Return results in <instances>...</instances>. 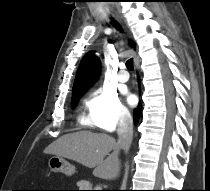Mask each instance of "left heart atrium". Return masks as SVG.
Listing matches in <instances>:
<instances>
[{
  "label": "left heart atrium",
  "mask_w": 210,
  "mask_h": 191,
  "mask_svg": "<svg viewBox=\"0 0 210 191\" xmlns=\"http://www.w3.org/2000/svg\"><path fill=\"white\" fill-rule=\"evenodd\" d=\"M127 101L130 105H133L135 103V97L131 94L127 95Z\"/></svg>",
  "instance_id": "39dd6f15"
}]
</instances>
